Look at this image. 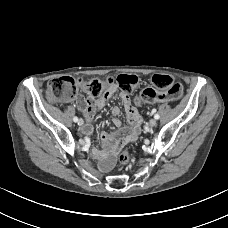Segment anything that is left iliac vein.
Here are the masks:
<instances>
[{
    "label": "left iliac vein",
    "instance_id": "obj_1",
    "mask_svg": "<svg viewBox=\"0 0 228 228\" xmlns=\"http://www.w3.org/2000/svg\"><path fill=\"white\" fill-rule=\"evenodd\" d=\"M156 124H157L156 119H151V120L149 121V125H150L151 127L156 126Z\"/></svg>",
    "mask_w": 228,
    "mask_h": 228
}]
</instances>
